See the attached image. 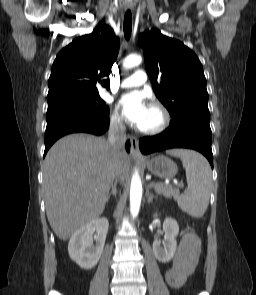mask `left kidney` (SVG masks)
Segmentation results:
<instances>
[{
    "instance_id": "left-kidney-1",
    "label": "left kidney",
    "mask_w": 256,
    "mask_h": 295,
    "mask_svg": "<svg viewBox=\"0 0 256 295\" xmlns=\"http://www.w3.org/2000/svg\"><path fill=\"white\" fill-rule=\"evenodd\" d=\"M157 214L154 215L156 217ZM164 240L155 239L153 242V253L161 263H168L175 255L179 233V226L176 220L166 218L163 222Z\"/></svg>"
}]
</instances>
